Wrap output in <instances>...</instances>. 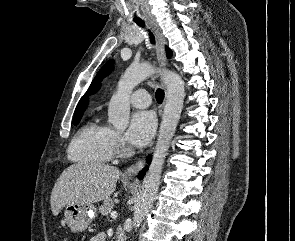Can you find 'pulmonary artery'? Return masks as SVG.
Returning a JSON list of instances; mask_svg holds the SVG:
<instances>
[{"instance_id": "e3ab8cb5", "label": "pulmonary artery", "mask_w": 295, "mask_h": 241, "mask_svg": "<svg viewBox=\"0 0 295 241\" xmlns=\"http://www.w3.org/2000/svg\"><path fill=\"white\" fill-rule=\"evenodd\" d=\"M129 100L136 108H146L151 103V96L148 91L144 89H138L130 95Z\"/></svg>"}]
</instances>
